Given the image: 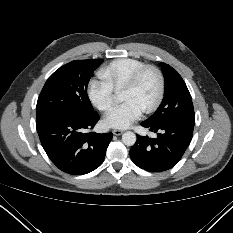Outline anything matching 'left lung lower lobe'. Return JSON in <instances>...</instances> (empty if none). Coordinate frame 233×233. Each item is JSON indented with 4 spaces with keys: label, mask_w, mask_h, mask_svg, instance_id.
Masks as SVG:
<instances>
[{
    "label": "left lung lower lobe",
    "mask_w": 233,
    "mask_h": 233,
    "mask_svg": "<svg viewBox=\"0 0 233 233\" xmlns=\"http://www.w3.org/2000/svg\"><path fill=\"white\" fill-rule=\"evenodd\" d=\"M141 125L158 132V136L156 139L137 136L130 149L134 164L149 172H162L174 167L191 142L194 123L178 121L153 125L144 121Z\"/></svg>",
    "instance_id": "0a47b994"
}]
</instances>
